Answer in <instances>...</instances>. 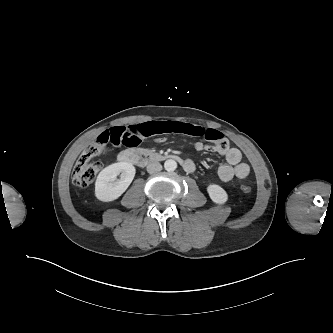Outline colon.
I'll return each mask as SVG.
<instances>
[{"label":"colon","mask_w":333,"mask_h":333,"mask_svg":"<svg viewBox=\"0 0 333 333\" xmlns=\"http://www.w3.org/2000/svg\"><path fill=\"white\" fill-rule=\"evenodd\" d=\"M106 144V141L97 139L81 153L72 173L73 182L77 186H88L94 180L101 169V163L97 158L106 152ZM241 189L244 193L251 191L247 185H241Z\"/></svg>","instance_id":"1"}]
</instances>
